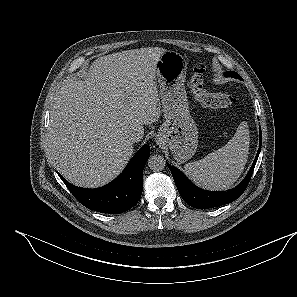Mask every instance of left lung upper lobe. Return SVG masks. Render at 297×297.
<instances>
[{"instance_id":"5c2ea615","label":"left lung upper lobe","mask_w":297,"mask_h":297,"mask_svg":"<svg viewBox=\"0 0 297 297\" xmlns=\"http://www.w3.org/2000/svg\"><path fill=\"white\" fill-rule=\"evenodd\" d=\"M225 76L227 77H234V78H238V79H242L236 72L234 71H228L225 73Z\"/></svg>"}]
</instances>
